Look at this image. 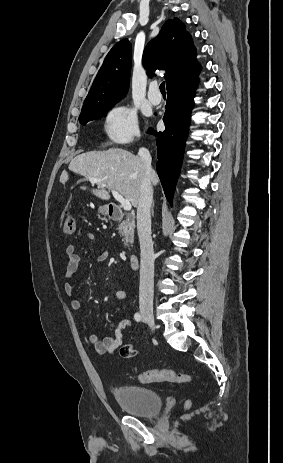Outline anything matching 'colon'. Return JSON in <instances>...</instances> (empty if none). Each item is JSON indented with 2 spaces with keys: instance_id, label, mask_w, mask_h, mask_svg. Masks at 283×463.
Listing matches in <instances>:
<instances>
[{
  "instance_id": "5ec220e1",
  "label": "colon",
  "mask_w": 283,
  "mask_h": 463,
  "mask_svg": "<svg viewBox=\"0 0 283 463\" xmlns=\"http://www.w3.org/2000/svg\"><path fill=\"white\" fill-rule=\"evenodd\" d=\"M60 230L62 235L71 236L76 231V222L75 218L66 212L60 221ZM124 352V350L122 351ZM138 380L141 383H158V382H169V383H186L191 380V377L188 374L177 373L173 370L163 369V370H151L146 371L138 375ZM190 407V402L186 401L184 408L188 409Z\"/></svg>"
}]
</instances>
